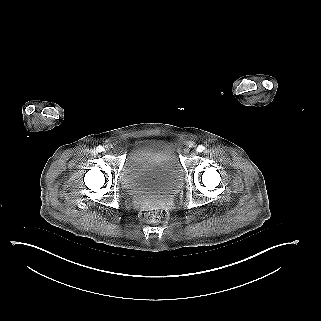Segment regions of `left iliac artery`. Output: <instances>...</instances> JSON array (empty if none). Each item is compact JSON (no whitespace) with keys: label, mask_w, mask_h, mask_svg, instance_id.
<instances>
[{"label":"left iliac artery","mask_w":321,"mask_h":321,"mask_svg":"<svg viewBox=\"0 0 321 321\" xmlns=\"http://www.w3.org/2000/svg\"><path fill=\"white\" fill-rule=\"evenodd\" d=\"M204 149H205V147H204L203 145H199V146L197 147V151H198V152H202V151H204Z\"/></svg>","instance_id":"1"}]
</instances>
